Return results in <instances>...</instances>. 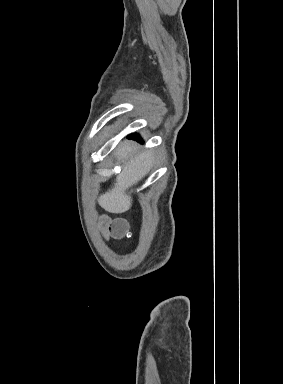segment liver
<instances>
[{"instance_id": "6515ba94", "label": "liver", "mask_w": 283, "mask_h": 384, "mask_svg": "<svg viewBox=\"0 0 283 384\" xmlns=\"http://www.w3.org/2000/svg\"><path fill=\"white\" fill-rule=\"evenodd\" d=\"M132 146L130 144H123L122 148L117 152V158L127 160L128 154H132ZM154 158L151 152H142L136 156H130L127 164H125L121 174L116 178L112 190L102 194L98 198V204L104 208L106 212L111 214H122L127 212L132 206V198L126 194V190L136 186L140 180H143L153 168Z\"/></svg>"}]
</instances>
